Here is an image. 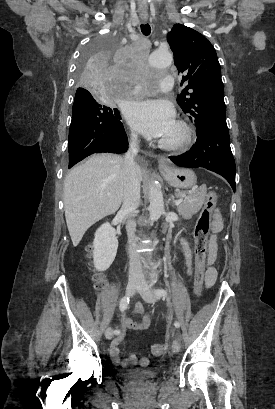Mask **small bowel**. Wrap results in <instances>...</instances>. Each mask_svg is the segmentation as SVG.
<instances>
[{"instance_id":"c3829d8e","label":"small bowel","mask_w":275,"mask_h":409,"mask_svg":"<svg viewBox=\"0 0 275 409\" xmlns=\"http://www.w3.org/2000/svg\"><path fill=\"white\" fill-rule=\"evenodd\" d=\"M222 218L219 214V212H216L213 218L212 222V236L210 240V247H209V254L207 258V265L209 266L208 271L211 272L215 270L212 265L214 264L217 256V243H216V234L219 233L222 229ZM182 248H183V253L185 256V262L187 266V274L191 275L192 274V253L191 249L189 246V243L187 242L186 239L181 238L180 239ZM216 271V270H215ZM216 278H217V272H216ZM215 279H210L209 277L206 278V285L208 287L212 286L215 281ZM136 312L139 314L137 317H128L124 321L125 327L129 329H134V330H143V329H148L151 324H152V317L150 314L147 312L145 306L143 303H138L135 307ZM123 338V334L117 335L111 342L110 344V349L109 353L111 358L115 361L120 363L121 365H140V366H146L148 364V360L146 358H137L135 355H130L129 357L125 359L120 358V350H119V344Z\"/></svg>"}]
</instances>
